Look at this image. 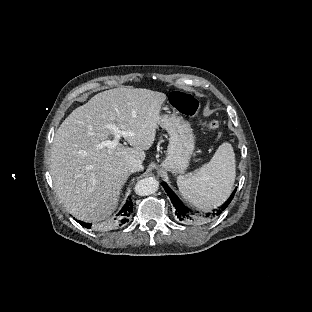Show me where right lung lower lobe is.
Masks as SVG:
<instances>
[{
	"instance_id": "obj_1",
	"label": "right lung lower lobe",
	"mask_w": 312,
	"mask_h": 312,
	"mask_svg": "<svg viewBox=\"0 0 312 312\" xmlns=\"http://www.w3.org/2000/svg\"><path fill=\"white\" fill-rule=\"evenodd\" d=\"M133 209V202L131 201V198L129 197V200H127L126 204L122 207L121 211L117 214V216H119L118 218H115V220H118L117 223H125L128 221L127 217L130 216V213L132 212ZM78 223H80L82 226L86 227V228H91L92 224H87V223H83L81 221H78ZM119 224V225H121Z\"/></svg>"
}]
</instances>
